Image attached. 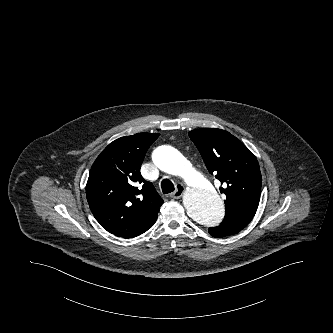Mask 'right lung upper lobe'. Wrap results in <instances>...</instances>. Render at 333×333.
Segmentation results:
<instances>
[{
    "label": "right lung upper lobe",
    "mask_w": 333,
    "mask_h": 333,
    "mask_svg": "<svg viewBox=\"0 0 333 333\" xmlns=\"http://www.w3.org/2000/svg\"><path fill=\"white\" fill-rule=\"evenodd\" d=\"M158 133H138L109 144L91 167L86 185L89 207L108 232L136 237L153 226L163 200L140 174Z\"/></svg>",
    "instance_id": "1"
}]
</instances>
